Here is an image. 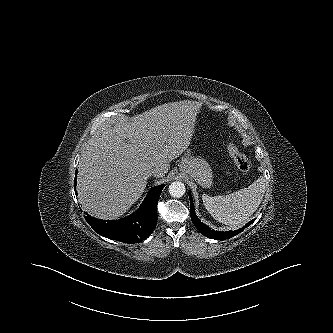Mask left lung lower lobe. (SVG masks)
<instances>
[{"label":"left lung lower lobe","instance_id":"obj_1","mask_svg":"<svg viewBox=\"0 0 333 333\" xmlns=\"http://www.w3.org/2000/svg\"><path fill=\"white\" fill-rule=\"evenodd\" d=\"M189 198H190V214H191V220H192L193 224L204 236L209 237L211 239H215V240L229 239V238L239 234L240 232H242L245 228H247L249 225H251L255 221V219L250 221L249 223H247L244 227H242L239 230L226 231V232L212 230L206 224L201 222L198 219V217L196 216L195 211H194V204H193V200H192L190 192H189Z\"/></svg>","mask_w":333,"mask_h":333}]
</instances>
